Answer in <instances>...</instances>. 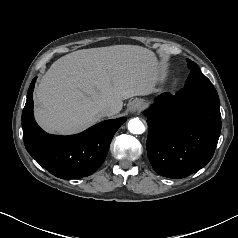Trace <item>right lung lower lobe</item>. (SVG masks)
Listing matches in <instances>:
<instances>
[{"instance_id": "obj_1", "label": "right lung lower lobe", "mask_w": 238, "mask_h": 238, "mask_svg": "<svg viewBox=\"0 0 238 238\" xmlns=\"http://www.w3.org/2000/svg\"><path fill=\"white\" fill-rule=\"evenodd\" d=\"M30 84L22 112L23 140L29 154L47 171L62 179L91 175L104 162L110 142L125 117L103 121L72 136L45 133L33 116V89Z\"/></svg>"}]
</instances>
